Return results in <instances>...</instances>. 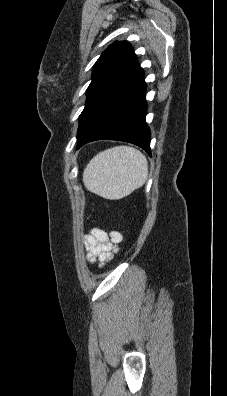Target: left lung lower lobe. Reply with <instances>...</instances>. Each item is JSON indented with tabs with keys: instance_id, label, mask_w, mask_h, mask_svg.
<instances>
[{
	"instance_id": "left-lung-lower-lobe-1",
	"label": "left lung lower lobe",
	"mask_w": 227,
	"mask_h": 396,
	"mask_svg": "<svg viewBox=\"0 0 227 396\" xmlns=\"http://www.w3.org/2000/svg\"><path fill=\"white\" fill-rule=\"evenodd\" d=\"M144 79L139 67L95 106L77 136L78 149L91 141L109 139L133 143L151 155Z\"/></svg>"
}]
</instances>
